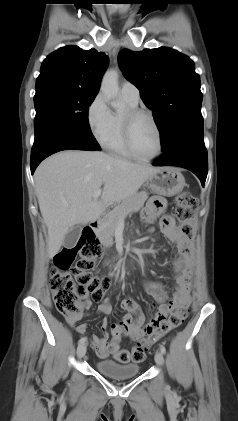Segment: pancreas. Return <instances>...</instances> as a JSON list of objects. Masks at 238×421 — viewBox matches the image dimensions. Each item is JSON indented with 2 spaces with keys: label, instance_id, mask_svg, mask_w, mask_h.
<instances>
[{
  "label": "pancreas",
  "instance_id": "1",
  "mask_svg": "<svg viewBox=\"0 0 238 421\" xmlns=\"http://www.w3.org/2000/svg\"><path fill=\"white\" fill-rule=\"evenodd\" d=\"M148 198V193L141 191L119 202L104 218L102 226L97 231V236L104 247L113 245V235L118 223L128 214L137 212L143 207Z\"/></svg>",
  "mask_w": 238,
  "mask_h": 421
}]
</instances>
